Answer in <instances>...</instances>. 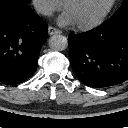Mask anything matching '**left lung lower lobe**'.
<instances>
[{"label":"left lung lower lobe","mask_w":128,"mask_h":128,"mask_svg":"<svg viewBox=\"0 0 128 128\" xmlns=\"http://www.w3.org/2000/svg\"><path fill=\"white\" fill-rule=\"evenodd\" d=\"M68 44L72 70L83 84L101 88L128 79V11L71 35Z\"/></svg>","instance_id":"0a47b994"}]
</instances>
